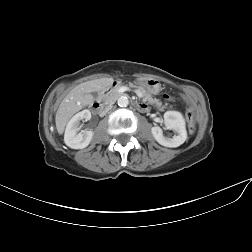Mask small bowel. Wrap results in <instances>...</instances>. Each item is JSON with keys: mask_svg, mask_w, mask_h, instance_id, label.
<instances>
[{"mask_svg": "<svg viewBox=\"0 0 252 252\" xmlns=\"http://www.w3.org/2000/svg\"><path fill=\"white\" fill-rule=\"evenodd\" d=\"M146 108H147V106L145 104H143V109H146Z\"/></svg>", "mask_w": 252, "mask_h": 252, "instance_id": "obj_1", "label": "small bowel"}]
</instances>
